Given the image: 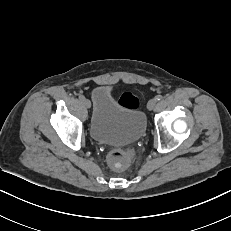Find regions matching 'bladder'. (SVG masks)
<instances>
[{"mask_svg":"<svg viewBox=\"0 0 231 231\" xmlns=\"http://www.w3.org/2000/svg\"><path fill=\"white\" fill-rule=\"evenodd\" d=\"M90 133L94 140L108 144L133 143L145 133L147 119L138 107L124 105L106 85L94 89Z\"/></svg>","mask_w":231,"mask_h":231,"instance_id":"bladder-1","label":"bladder"}]
</instances>
